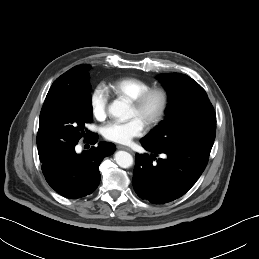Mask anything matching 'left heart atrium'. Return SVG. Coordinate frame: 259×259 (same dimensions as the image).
<instances>
[{"label":"left heart atrium","instance_id":"1","mask_svg":"<svg viewBox=\"0 0 259 259\" xmlns=\"http://www.w3.org/2000/svg\"><path fill=\"white\" fill-rule=\"evenodd\" d=\"M145 123L133 117L127 121H113L103 127L104 137L119 144H129L134 138L142 135Z\"/></svg>","mask_w":259,"mask_h":259}]
</instances>
